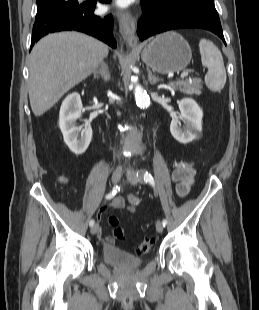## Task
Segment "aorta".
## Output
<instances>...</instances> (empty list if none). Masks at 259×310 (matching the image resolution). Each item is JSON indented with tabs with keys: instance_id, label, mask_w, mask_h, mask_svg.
I'll return each instance as SVG.
<instances>
[{
	"instance_id": "762f6f07",
	"label": "aorta",
	"mask_w": 259,
	"mask_h": 310,
	"mask_svg": "<svg viewBox=\"0 0 259 310\" xmlns=\"http://www.w3.org/2000/svg\"><path fill=\"white\" fill-rule=\"evenodd\" d=\"M136 104L140 108H147L150 105V97L139 84H135L134 88ZM142 135L139 131L133 130L127 133L125 137L126 143L134 150H137L141 145Z\"/></svg>"
}]
</instances>
